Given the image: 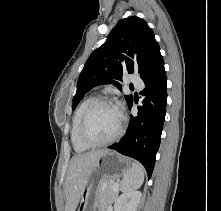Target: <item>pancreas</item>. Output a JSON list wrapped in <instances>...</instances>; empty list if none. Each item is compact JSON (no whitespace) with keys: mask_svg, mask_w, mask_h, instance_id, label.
Masks as SVG:
<instances>
[{"mask_svg":"<svg viewBox=\"0 0 221 211\" xmlns=\"http://www.w3.org/2000/svg\"><path fill=\"white\" fill-rule=\"evenodd\" d=\"M115 182H104L98 190V206L99 211H105L107 206L111 204L118 196V190L114 189Z\"/></svg>","mask_w":221,"mask_h":211,"instance_id":"1","label":"pancreas"}]
</instances>
